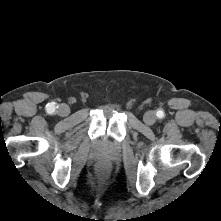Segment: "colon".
<instances>
[{
	"label": "colon",
	"instance_id": "colon-1",
	"mask_svg": "<svg viewBox=\"0 0 221 221\" xmlns=\"http://www.w3.org/2000/svg\"><path fill=\"white\" fill-rule=\"evenodd\" d=\"M98 172H99V174L100 175H105L106 174V168L105 167H100L99 169H98Z\"/></svg>",
	"mask_w": 221,
	"mask_h": 221
}]
</instances>
